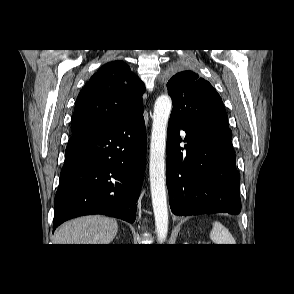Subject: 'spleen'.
<instances>
[{"mask_svg": "<svg viewBox=\"0 0 294 294\" xmlns=\"http://www.w3.org/2000/svg\"><path fill=\"white\" fill-rule=\"evenodd\" d=\"M210 239L215 244H235V240L229 230L218 221L213 223Z\"/></svg>", "mask_w": 294, "mask_h": 294, "instance_id": "spleen-1", "label": "spleen"}]
</instances>
